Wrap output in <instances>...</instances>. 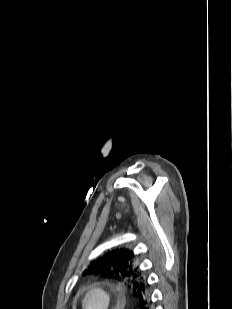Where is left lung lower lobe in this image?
<instances>
[{
  "mask_svg": "<svg viewBox=\"0 0 232 309\" xmlns=\"http://www.w3.org/2000/svg\"><path fill=\"white\" fill-rule=\"evenodd\" d=\"M151 301L149 300L147 303L143 302L139 304L140 309H150Z\"/></svg>",
  "mask_w": 232,
  "mask_h": 309,
  "instance_id": "1",
  "label": "left lung lower lobe"
}]
</instances>
